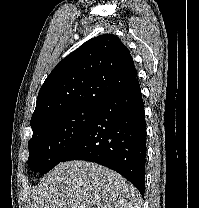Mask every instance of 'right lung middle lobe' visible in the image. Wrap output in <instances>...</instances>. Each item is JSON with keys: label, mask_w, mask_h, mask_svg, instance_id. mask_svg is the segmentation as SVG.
I'll use <instances>...</instances> for the list:
<instances>
[{"label": "right lung middle lobe", "mask_w": 199, "mask_h": 208, "mask_svg": "<svg viewBox=\"0 0 199 208\" xmlns=\"http://www.w3.org/2000/svg\"><path fill=\"white\" fill-rule=\"evenodd\" d=\"M98 106H85L59 113L32 128L29 140V167L45 174L62 161L76 145Z\"/></svg>", "instance_id": "obj_1"}]
</instances>
